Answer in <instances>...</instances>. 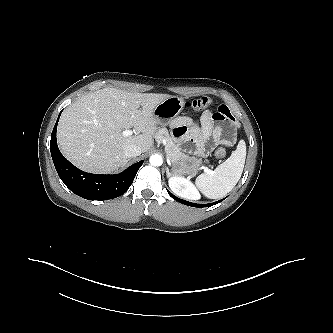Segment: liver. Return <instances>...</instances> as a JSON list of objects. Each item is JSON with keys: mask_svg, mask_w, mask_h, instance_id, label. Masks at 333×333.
Returning a JSON list of instances; mask_svg holds the SVG:
<instances>
[{"mask_svg": "<svg viewBox=\"0 0 333 333\" xmlns=\"http://www.w3.org/2000/svg\"><path fill=\"white\" fill-rule=\"evenodd\" d=\"M168 97V94H142L116 88L86 94L60 118L57 128L60 150L84 171H116L126 164V146L137 145L142 152L153 146L158 129L153 110ZM130 128L141 134L123 136L122 131Z\"/></svg>", "mask_w": 333, "mask_h": 333, "instance_id": "1", "label": "liver"}]
</instances>
